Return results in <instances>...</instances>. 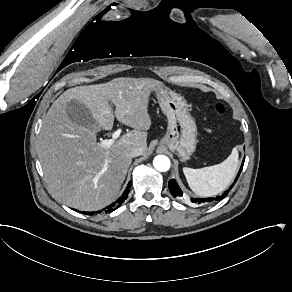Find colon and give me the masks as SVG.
Here are the masks:
<instances>
[{
    "label": "colon",
    "mask_w": 292,
    "mask_h": 292,
    "mask_svg": "<svg viewBox=\"0 0 292 292\" xmlns=\"http://www.w3.org/2000/svg\"><path fill=\"white\" fill-rule=\"evenodd\" d=\"M225 110H226V107L223 103L218 102L214 104V112L217 116L224 115Z\"/></svg>",
    "instance_id": "5ec220e1"
}]
</instances>
